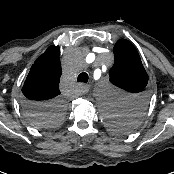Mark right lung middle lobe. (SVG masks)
<instances>
[{
    "instance_id": "right-lung-middle-lobe-1",
    "label": "right lung middle lobe",
    "mask_w": 174,
    "mask_h": 174,
    "mask_svg": "<svg viewBox=\"0 0 174 174\" xmlns=\"http://www.w3.org/2000/svg\"><path fill=\"white\" fill-rule=\"evenodd\" d=\"M24 109L33 126L37 128H51L62 121L65 106L61 100H58L44 106H28Z\"/></svg>"
}]
</instances>
